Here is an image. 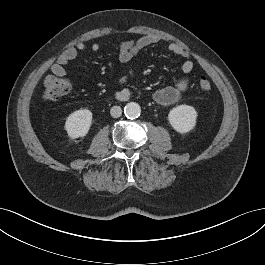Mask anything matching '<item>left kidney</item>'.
<instances>
[{"instance_id": "5707ae66", "label": "left kidney", "mask_w": 265, "mask_h": 265, "mask_svg": "<svg viewBox=\"0 0 265 265\" xmlns=\"http://www.w3.org/2000/svg\"><path fill=\"white\" fill-rule=\"evenodd\" d=\"M197 112L194 107L189 105H179L168 114L170 125L178 133L190 132L196 125Z\"/></svg>"}]
</instances>
